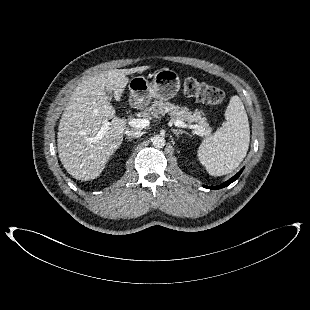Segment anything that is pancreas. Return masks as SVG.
<instances>
[{"label":"pancreas","instance_id":"1","mask_svg":"<svg viewBox=\"0 0 310 310\" xmlns=\"http://www.w3.org/2000/svg\"><path fill=\"white\" fill-rule=\"evenodd\" d=\"M166 113L170 115V120L183 121L189 125L197 123L200 132L203 136L208 137L212 132L207 119L204 117V112L195 110L193 113L186 107H179L170 102L154 101L150 107L145 108L141 113L144 118L155 119L164 116Z\"/></svg>","mask_w":310,"mask_h":310}]
</instances>
